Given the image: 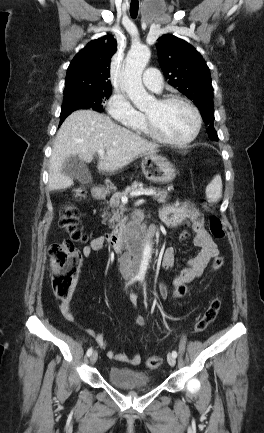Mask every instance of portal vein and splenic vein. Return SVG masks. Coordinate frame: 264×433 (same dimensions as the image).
I'll return each instance as SVG.
<instances>
[{"label": "portal vein and splenic vein", "instance_id": "18ae733b", "mask_svg": "<svg viewBox=\"0 0 264 433\" xmlns=\"http://www.w3.org/2000/svg\"><path fill=\"white\" fill-rule=\"evenodd\" d=\"M97 152H98L100 157H103L105 154L104 149H99ZM155 194H156V192L154 190H138V191L132 192L130 195L131 196H140V195H155ZM121 200L123 202H125L128 200V197L126 195H124L121 197Z\"/></svg>", "mask_w": 264, "mask_h": 433}]
</instances>
